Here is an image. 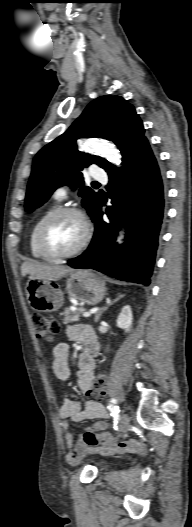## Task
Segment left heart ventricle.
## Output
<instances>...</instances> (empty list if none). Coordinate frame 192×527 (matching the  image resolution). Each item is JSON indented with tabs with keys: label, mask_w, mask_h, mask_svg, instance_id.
<instances>
[{
	"label": "left heart ventricle",
	"mask_w": 192,
	"mask_h": 527,
	"mask_svg": "<svg viewBox=\"0 0 192 527\" xmlns=\"http://www.w3.org/2000/svg\"><path fill=\"white\" fill-rule=\"evenodd\" d=\"M84 233L82 221L73 214H66L53 222L47 233V243L51 250L66 253L73 250Z\"/></svg>",
	"instance_id": "1"
}]
</instances>
